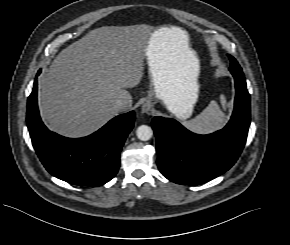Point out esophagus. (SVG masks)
<instances>
[{
  "mask_svg": "<svg viewBox=\"0 0 290 245\" xmlns=\"http://www.w3.org/2000/svg\"><path fill=\"white\" fill-rule=\"evenodd\" d=\"M141 111H142V113L150 115L152 113L151 103L149 101H146L145 103H143V105L141 107Z\"/></svg>",
  "mask_w": 290,
  "mask_h": 245,
  "instance_id": "esophagus-1",
  "label": "esophagus"
}]
</instances>
